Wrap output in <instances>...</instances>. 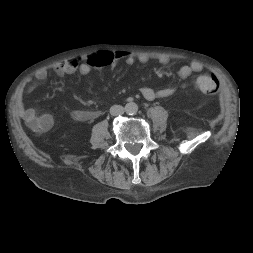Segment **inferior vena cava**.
<instances>
[{"instance_id": "inferior-vena-cava-1", "label": "inferior vena cava", "mask_w": 253, "mask_h": 253, "mask_svg": "<svg viewBox=\"0 0 253 253\" xmlns=\"http://www.w3.org/2000/svg\"><path fill=\"white\" fill-rule=\"evenodd\" d=\"M125 112V108L121 105H113L110 107V114L115 115H121Z\"/></svg>"}]
</instances>
